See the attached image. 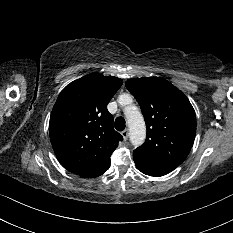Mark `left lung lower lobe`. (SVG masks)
I'll return each instance as SVG.
<instances>
[{"label":"left lung lower lobe","instance_id":"left-lung-lower-lobe-1","mask_svg":"<svg viewBox=\"0 0 233 233\" xmlns=\"http://www.w3.org/2000/svg\"><path fill=\"white\" fill-rule=\"evenodd\" d=\"M133 159L136 167L142 173L149 176H163L176 168L175 166L144 156L136 150L133 151Z\"/></svg>","mask_w":233,"mask_h":233}]
</instances>
